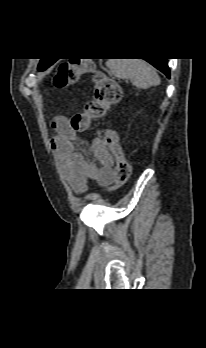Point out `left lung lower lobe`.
Wrapping results in <instances>:
<instances>
[{
  "label": "left lung lower lobe",
  "instance_id": "0a47b994",
  "mask_svg": "<svg viewBox=\"0 0 206 348\" xmlns=\"http://www.w3.org/2000/svg\"><path fill=\"white\" fill-rule=\"evenodd\" d=\"M150 64H152L154 67L159 69L161 72H163L167 77H169V68L167 64V59H145Z\"/></svg>",
  "mask_w": 206,
  "mask_h": 348
}]
</instances>
